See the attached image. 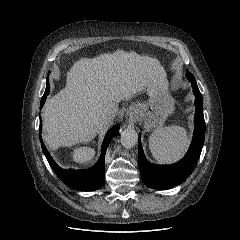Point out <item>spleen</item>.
<instances>
[{"label": "spleen", "mask_w": 240, "mask_h": 240, "mask_svg": "<svg viewBox=\"0 0 240 240\" xmlns=\"http://www.w3.org/2000/svg\"><path fill=\"white\" fill-rule=\"evenodd\" d=\"M188 142L186 130L173 125L154 131L149 138V147L157 162L171 163L182 157Z\"/></svg>", "instance_id": "1"}]
</instances>
